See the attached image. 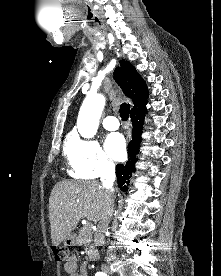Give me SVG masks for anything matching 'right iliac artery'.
<instances>
[{
	"instance_id": "obj_1",
	"label": "right iliac artery",
	"mask_w": 221,
	"mask_h": 276,
	"mask_svg": "<svg viewBox=\"0 0 221 276\" xmlns=\"http://www.w3.org/2000/svg\"><path fill=\"white\" fill-rule=\"evenodd\" d=\"M95 276H107V275L105 273H103V272H98V273H96Z\"/></svg>"
}]
</instances>
